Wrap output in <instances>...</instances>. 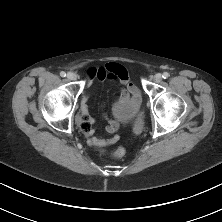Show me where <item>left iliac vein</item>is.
Here are the masks:
<instances>
[{"label":"left iliac vein","instance_id":"1","mask_svg":"<svg viewBox=\"0 0 222 222\" xmlns=\"http://www.w3.org/2000/svg\"><path fill=\"white\" fill-rule=\"evenodd\" d=\"M162 80V75L160 73H157L155 76H154V81L159 83L160 81Z\"/></svg>","mask_w":222,"mask_h":222}]
</instances>
